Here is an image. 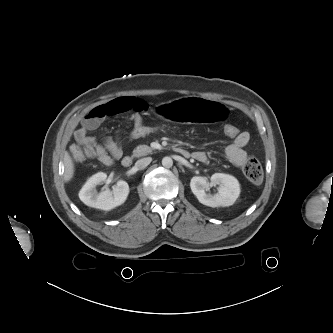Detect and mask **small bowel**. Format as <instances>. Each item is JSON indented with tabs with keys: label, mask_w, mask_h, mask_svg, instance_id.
Segmentation results:
<instances>
[{
	"label": "small bowel",
	"mask_w": 333,
	"mask_h": 333,
	"mask_svg": "<svg viewBox=\"0 0 333 333\" xmlns=\"http://www.w3.org/2000/svg\"><path fill=\"white\" fill-rule=\"evenodd\" d=\"M147 108L148 104L144 100L134 97H120L90 109L83 116L81 126L75 131L77 145L73 148L82 150L88 159H98L104 165H111L114 160L123 156L119 137L116 139L106 137L98 142L89 135V131L98 128L100 123L108 117L128 112L131 113L130 120L132 123L140 122L142 121L140 114ZM249 140V133L241 132L226 147V157L237 167H242L247 159L245 147ZM192 156L202 163L208 161L206 153L201 151L194 152Z\"/></svg>",
	"instance_id": "1"
}]
</instances>
